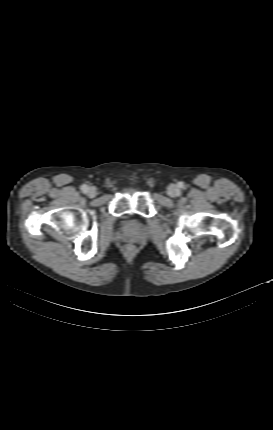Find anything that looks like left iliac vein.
<instances>
[{
    "mask_svg": "<svg viewBox=\"0 0 273 430\" xmlns=\"http://www.w3.org/2000/svg\"><path fill=\"white\" fill-rule=\"evenodd\" d=\"M168 194H169L171 197H176V196L179 194V189H178V187H177L176 185H170V186L168 187Z\"/></svg>",
    "mask_w": 273,
    "mask_h": 430,
    "instance_id": "obj_1",
    "label": "left iliac vein"
}]
</instances>
